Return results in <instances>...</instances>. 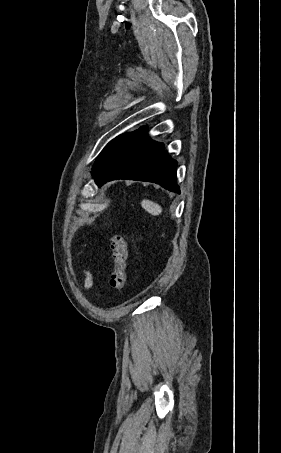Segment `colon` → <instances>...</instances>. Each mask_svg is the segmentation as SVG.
Wrapping results in <instances>:
<instances>
[{
	"label": "colon",
	"instance_id": "obj_1",
	"mask_svg": "<svg viewBox=\"0 0 281 453\" xmlns=\"http://www.w3.org/2000/svg\"><path fill=\"white\" fill-rule=\"evenodd\" d=\"M113 265L110 273V288L115 293L122 292L126 287L128 249L123 236L111 237Z\"/></svg>",
	"mask_w": 281,
	"mask_h": 453
}]
</instances>
